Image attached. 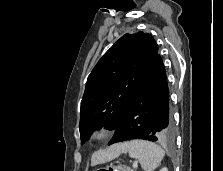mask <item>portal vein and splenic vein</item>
Instances as JSON below:
<instances>
[{
  "instance_id": "obj_1",
  "label": "portal vein and splenic vein",
  "mask_w": 223,
  "mask_h": 171,
  "mask_svg": "<svg viewBox=\"0 0 223 171\" xmlns=\"http://www.w3.org/2000/svg\"><path fill=\"white\" fill-rule=\"evenodd\" d=\"M133 167H138V163L137 162H134L133 163Z\"/></svg>"
}]
</instances>
